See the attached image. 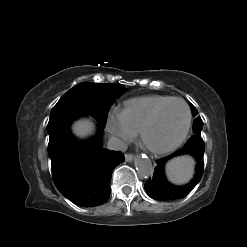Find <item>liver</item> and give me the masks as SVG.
<instances>
[{
    "instance_id": "obj_1",
    "label": "liver",
    "mask_w": 247,
    "mask_h": 247,
    "mask_svg": "<svg viewBox=\"0 0 247 247\" xmlns=\"http://www.w3.org/2000/svg\"><path fill=\"white\" fill-rule=\"evenodd\" d=\"M94 129V124L90 119H82L75 122L72 126V131L74 135L79 138H85L92 134Z\"/></svg>"
}]
</instances>
